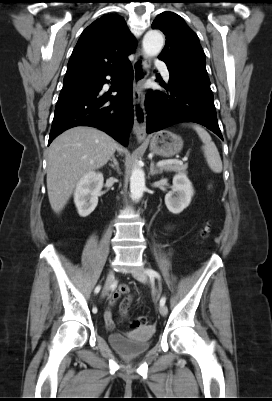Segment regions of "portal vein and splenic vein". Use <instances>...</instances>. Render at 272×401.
Returning <instances> with one entry per match:
<instances>
[{
    "instance_id": "1",
    "label": "portal vein and splenic vein",
    "mask_w": 272,
    "mask_h": 401,
    "mask_svg": "<svg viewBox=\"0 0 272 401\" xmlns=\"http://www.w3.org/2000/svg\"><path fill=\"white\" fill-rule=\"evenodd\" d=\"M183 160L184 161L187 160V157H184ZM175 163H182V162L178 161V160H163V161H159L157 163V166L158 167H162V166H165V165H168V164H175Z\"/></svg>"
}]
</instances>
